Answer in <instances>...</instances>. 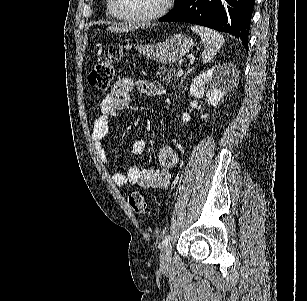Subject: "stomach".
<instances>
[{
    "label": "stomach",
    "instance_id": "obj_1",
    "mask_svg": "<svg viewBox=\"0 0 307 301\" xmlns=\"http://www.w3.org/2000/svg\"><path fill=\"white\" fill-rule=\"evenodd\" d=\"M193 38L188 34H170L163 42H144L139 44L138 50L140 54L146 56V58H152L156 62H162V64H175L176 60H179L181 56H184L186 52H189L193 46Z\"/></svg>",
    "mask_w": 307,
    "mask_h": 301
}]
</instances>
